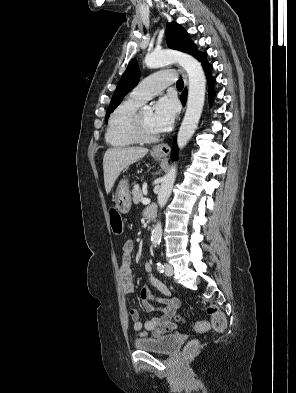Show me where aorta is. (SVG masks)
I'll list each match as a JSON object with an SVG mask.
<instances>
[{
    "mask_svg": "<svg viewBox=\"0 0 296 393\" xmlns=\"http://www.w3.org/2000/svg\"><path fill=\"white\" fill-rule=\"evenodd\" d=\"M174 62L179 63L183 67L189 78L186 112L177 135L178 147L182 149L186 146L198 126L204 106L206 78L199 61L186 53L173 50H161L154 51L148 54L145 58L146 66L153 69L161 68ZM143 110L151 111V107L144 106ZM176 173L177 168L175 166H171L169 172L162 179L157 197L160 208H163L166 205L170 197ZM161 237L162 224L158 221L153 228L151 241L153 243H159L161 241Z\"/></svg>",
    "mask_w": 296,
    "mask_h": 393,
    "instance_id": "1",
    "label": "aorta"
}]
</instances>
